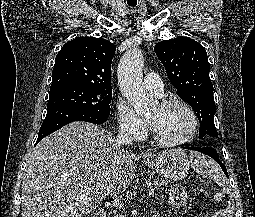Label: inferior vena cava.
Returning <instances> with one entry per match:
<instances>
[{
  "label": "inferior vena cava",
  "mask_w": 255,
  "mask_h": 217,
  "mask_svg": "<svg viewBox=\"0 0 255 217\" xmlns=\"http://www.w3.org/2000/svg\"><path fill=\"white\" fill-rule=\"evenodd\" d=\"M133 141V134L126 129H121L114 142V159L117 158V153L122 146H127Z\"/></svg>",
  "instance_id": "1"
}]
</instances>
